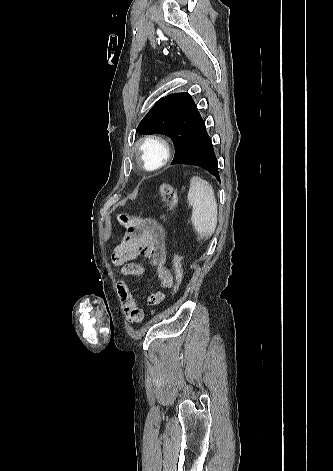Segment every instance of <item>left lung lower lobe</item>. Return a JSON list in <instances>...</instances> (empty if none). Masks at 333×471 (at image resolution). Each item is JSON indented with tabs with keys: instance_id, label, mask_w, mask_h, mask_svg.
<instances>
[{
	"instance_id": "left-lung-lower-lobe-1",
	"label": "left lung lower lobe",
	"mask_w": 333,
	"mask_h": 471,
	"mask_svg": "<svg viewBox=\"0 0 333 471\" xmlns=\"http://www.w3.org/2000/svg\"><path fill=\"white\" fill-rule=\"evenodd\" d=\"M171 164H190L202 167L220 181L217 159L204 121L199 125L188 144L174 156Z\"/></svg>"
}]
</instances>
